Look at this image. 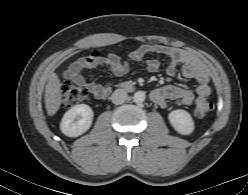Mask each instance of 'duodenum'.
<instances>
[{"label": "duodenum", "mask_w": 248, "mask_h": 195, "mask_svg": "<svg viewBox=\"0 0 248 195\" xmlns=\"http://www.w3.org/2000/svg\"><path fill=\"white\" fill-rule=\"evenodd\" d=\"M126 87H127V88H130V86H128V85H127Z\"/></svg>", "instance_id": "obj_1"}]
</instances>
